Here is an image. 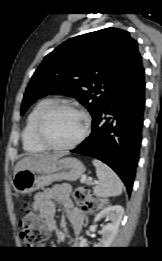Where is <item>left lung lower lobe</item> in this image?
Instances as JSON below:
<instances>
[{"mask_svg":"<svg viewBox=\"0 0 162 261\" xmlns=\"http://www.w3.org/2000/svg\"><path fill=\"white\" fill-rule=\"evenodd\" d=\"M144 107L145 73L141 63L111 90L92 116L90 136L71 151L110 166L124 182L128 194L139 159Z\"/></svg>","mask_w":162,"mask_h":261,"instance_id":"obj_1","label":"left lung lower lobe"}]
</instances>
